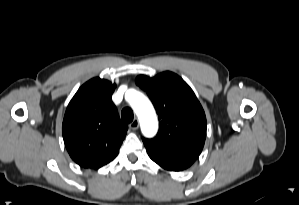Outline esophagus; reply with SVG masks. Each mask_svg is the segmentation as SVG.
Masks as SVG:
<instances>
[{
	"mask_svg": "<svg viewBox=\"0 0 299 205\" xmlns=\"http://www.w3.org/2000/svg\"><path fill=\"white\" fill-rule=\"evenodd\" d=\"M130 129L137 130L139 127V121L137 118H135L129 125Z\"/></svg>",
	"mask_w": 299,
	"mask_h": 205,
	"instance_id": "1",
	"label": "esophagus"
}]
</instances>
